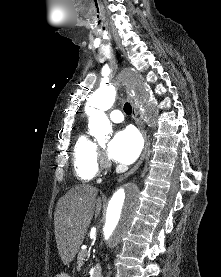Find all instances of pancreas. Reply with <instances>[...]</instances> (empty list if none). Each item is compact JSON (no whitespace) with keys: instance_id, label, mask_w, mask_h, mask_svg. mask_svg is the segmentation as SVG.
Listing matches in <instances>:
<instances>
[{"instance_id":"cf45deb5","label":"pancreas","mask_w":221,"mask_h":277,"mask_svg":"<svg viewBox=\"0 0 221 277\" xmlns=\"http://www.w3.org/2000/svg\"><path fill=\"white\" fill-rule=\"evenodd\" d=\"M90 255L89 251L87 250H81L78 254V257H77V264H78V268H80L83 263H84V259L86 257H88Z\"/></svg>"}]
</instances>
